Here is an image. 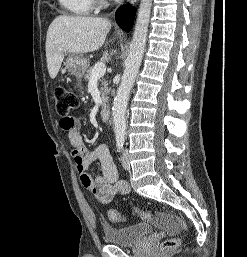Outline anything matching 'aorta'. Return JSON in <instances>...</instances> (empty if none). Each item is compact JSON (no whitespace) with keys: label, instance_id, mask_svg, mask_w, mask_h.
<instances>
[{"label":"aorta","instance_id":"aorta-1","mask_svg":"<svg viewBox=\"0 0 247 257\" xmlns=\"http://www.w3.org/2000/svg\"><path fill=\"white\" fill-rule=\"evenodd\" d=\"M151 7L152 0H141L124 73L113 102L112 119L118 140H124L126 136V110L145 51Z\"/></svg>","mask_w":247,"mask_h":257}]
</instances>
